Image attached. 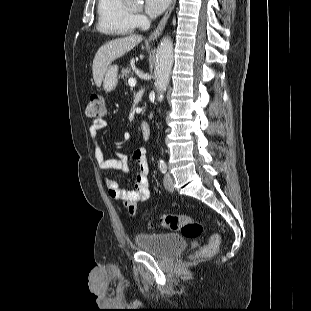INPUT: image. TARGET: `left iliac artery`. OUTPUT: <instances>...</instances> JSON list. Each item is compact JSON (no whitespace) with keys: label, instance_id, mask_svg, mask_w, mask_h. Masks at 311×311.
I'll return each mask as SVG.
<instances>
[{"label":"left iliac artery","instance_id":"44dca946","mask_svg":"<svg viewBox=\"0 0 311 311\" xmlns=\"http://www.w3.org/2000/svg\"><path fill=\"white\" fill-rule=\"evenodd\" d=\"M159 169L162 173H165L167 171V165L164 160H159Z\"/></svg>","mask_w":311,"mask_h":311}]
</instances>
